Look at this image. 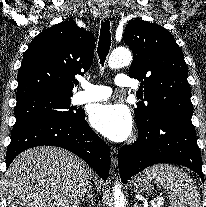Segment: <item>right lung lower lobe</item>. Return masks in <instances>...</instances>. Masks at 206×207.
<instances>
[{
    "instance_id": "1",
    "label": "right lung lower lobe",
    "mask_w": 206,
    "mask_h": 207,
    "mask_svg": "<svg viewBox=\"0 0 206 207\" xmlns=\"http://www.w3.org/2000/svg\"><path fill=\"white\" fill-rule=\"evenodd\" d=\"M51 145L67 149L86 161L104 180L110 169V151L107 144L91 129L85 113L79 118L45 120L13 129L6 154V166L26 149Z\"/></svg>"
}]
</instances>
